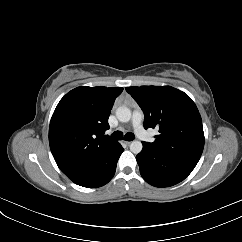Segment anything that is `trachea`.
<instances>
[{"mask_svg":"<svg viewBox=\"0 0 242 242\" xmlns=\"http://www.w3.org/2000/svg\"><path fill=\"white\" fill-rule=\"evenodd\" d=\"M112 138L115 140H123V138H124V140H126V141H132L135 139V136L131 132H128L125 134V136H123V133L121 131H115L112 134Z\"/></svg>","mask_w":242,"mask_h":242,"instance_id":"trachea-1","label":"trachea"}]
</instances>
